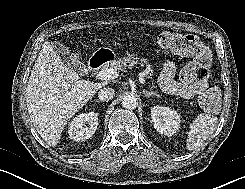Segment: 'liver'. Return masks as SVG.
Listing matches in <instances>:
<instances>
[{"label": "liver", "instance_id": "6515ba94", "mask_svg": "<svg viewBox=\"0 0 245 189\" xmlns=\"http://www.w3.org/2000/svg\"><path fill=\"white\" fill-rule=\"evenodd\" d=\"M105 85L79 80V75L45 43L26 89L28 111L39 135L56 146L67 122Z\"/></svg>", "mask_w": 245, "mask_h": 189}]
</instances>
